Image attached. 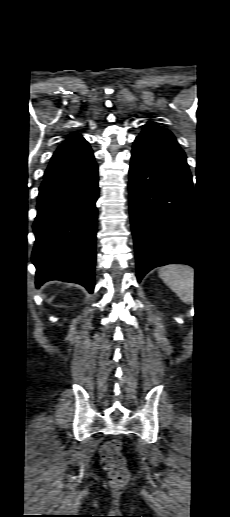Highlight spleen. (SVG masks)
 Instances as JSON below:
<instances>
[{"mask_svg": "<svg viewBox=\"0 0 230 517\" xmlns=\"http://www.w3.org/2000/svg\"><path fill=\"white\" fill-rule=\"evenodd\" d=\"M159 276L187 304L194 299V269L185 265H169L159 270Z\"/></svg>", "mask_w": 230, "mask_h": 517, "instance_id": "3e777b00", "label": "spleen"}]
</instances>
